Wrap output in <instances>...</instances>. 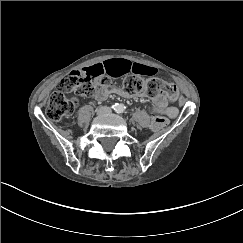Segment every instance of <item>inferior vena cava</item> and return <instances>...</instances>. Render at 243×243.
I'll return each mask as SVG.
<instances>
[{
	"instance_id": "1",
	"label": "inferior vena cava",
	"mask_w": 243,
	"mask_h": 243,
	"mask_svg": "<svg viewBox=\"0 0 243 243\" xmlns=\"http://www.w3.org/2000/svg\"><path fill=\"white\" fill-rule=\"evenodd\" d=\"M111 110V107L109 106V105H106L104 108L103 107H100L99 109H98V112L100 113V114H103L105 111L106 112H109Z\"/></svg>"
}]
</instances>
